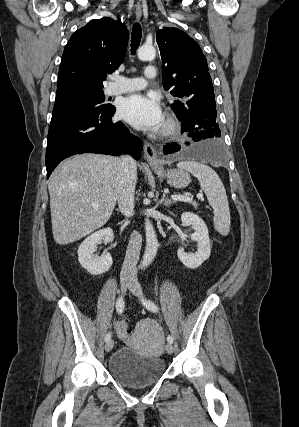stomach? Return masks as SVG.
Here are the masks:
<instances>
[{
    "label": "stomach",
    "instance_id": "1",
    "mask_svg": "<svg viewBox=\"0 0 299 427\" xmlns=\"http://www.w3.org/2000/svg\"><path fill=\"white\" fill-rule=\"evenodd\" d=\"M155 173L164 177L167 183L174 188H185L191 182V178L188 172L181 169L164 170L162 166H153Z\"/></svg>",
    "mask_w": 299,
    "mask_h": 427
}]
</instances>
